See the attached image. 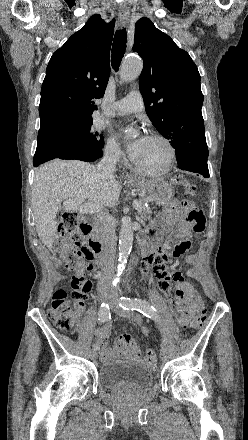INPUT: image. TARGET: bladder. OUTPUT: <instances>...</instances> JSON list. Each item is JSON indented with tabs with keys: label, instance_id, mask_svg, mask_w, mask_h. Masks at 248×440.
<instances>
[{
	"label": "bladder",
	"instance_id": "31cf9c89",
	"mask_svg": "<svg viewBox=\"0 0 248 440\" xmlns=\"http://www.w3.org/2000/svg\"><path fill=\"white\" fill-rule=\"evenodd\" d=\"M153 379V369L135 361L113 359L98 368L99 382L111 390H145L152 385Z\"/></svg>",
	"mask_w": 248,
	"mask_h": 440
}]
</instances>
